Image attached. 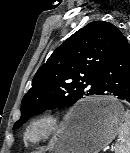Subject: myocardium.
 <instances>
[{"instance_id": "obj_1", "label": "myocardium", "mask_w": 130, "mask_h": 153, "mask_svg": "<svg viewBox=\"0 0 130 153\" xmlns=\"http://www.w3.org/2000/svg\"><path fill=\"white\" fill-rule=\"evenodd\" d=\"M62 120L56 113H42L29 121L23 131L28 144H39L51 138L60 128Z\"/></svg>"}]
</instances>
